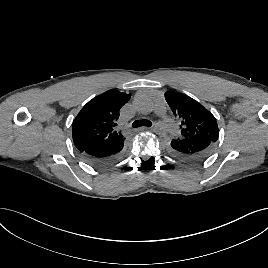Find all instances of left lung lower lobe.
Returning <instances> with one entry per match:
<instances>
[{"mask_svg":"<svg viewBox=\"0 0 268 268\" xmlns=\"http://www.w3.org/2000/svg\"><path fill=\"white\" fill-rule=\"evenodd\" d=\"M215 142L207 138H174L166 141V150L185 163L205 160L213 151Z\"/></svg>","mask_w":268,"mask_h":268,"instance_id":"obj_1","label":"left lung lower lobe"}]
</instances>
